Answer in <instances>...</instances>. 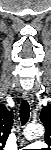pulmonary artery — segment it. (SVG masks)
Masks as SVG:
<instances>
[{
	"label": "pulmonary artery",
	"instance_id": "obj_1",
	"mask_svg": "<svg viewBox=\"0 0 51 150\" xmlns=\"http://www.w3.org/2000/svg\"><path fill=\"white\" fill-rule=\"evenodd\" d=\"M44 146V143H42V142H35V143H33V144H31V145H29V146H27V148L28 149H33V148H41V147H43ZM20 150H22V149H20Z\"/></svg>",
	"mask_w": 51,
	"mask_h": 150
}]
</instances>
